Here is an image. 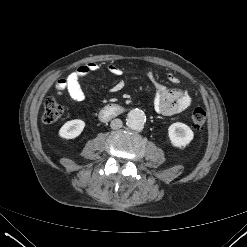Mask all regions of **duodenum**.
Masks as SVG:
<instances>
[{
	"label": "duodenum",
	"mask_w": 247,
	"mask_h": 247,
	"mask_svg": "<svg viewBox=\"0 0 247 247\" xmlns=\"http://www.w3.org/2000/svg\"><path fill=\"white\" fill-rule=\"evenodd\" d=\"M123 111L124 109L121 106L117 104H110V105L105 106L100 111L99 116L102 120H108V119H111L113 117L120 115Z\"/></svg>",
	"instance_id": "duodenum-1"
}]
</instances>
